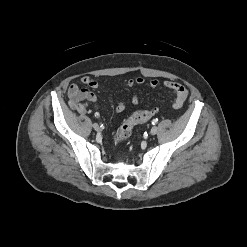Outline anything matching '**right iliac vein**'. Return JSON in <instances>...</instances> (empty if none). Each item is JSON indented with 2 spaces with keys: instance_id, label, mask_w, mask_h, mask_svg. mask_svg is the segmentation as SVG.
I'll use <instances>...</instances> for the list:
<instances>
[{
  "instance_id": "obj_1",
  "label": "right iliac vein",
  "mask_w": 247,
  "mask_h": 247,
  "mask_svg": "<svg viewBox=\"0 0 247 247\" xmlns=\"http://www.w3.org/2000/svg\"><path fill=\"white\" fill-rule=\"evenodd\" d=\"M93 128H94V130L98 131L99 130V125L97 123H94L93 124Z\"/></svg>"
}]
</instances>
